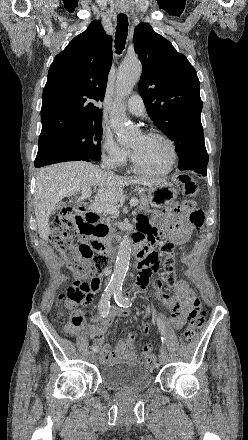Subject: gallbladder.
<instances>
[{"mask_svg":"<svg viewBox=\"0 0 248 440\" xmlns=\"http://www.w3.org/2000/svg\"><path fill=\"white\" fill-rule=\"evenodd\" d=\"M64 204L62 202L58 203L55 208H54V212L59 210Z\"/></svg>","mask_w":248,"mask_h":440,"instance_id":"gallbladder-1","label":"gallbladder"}]
</instances>
